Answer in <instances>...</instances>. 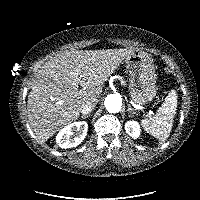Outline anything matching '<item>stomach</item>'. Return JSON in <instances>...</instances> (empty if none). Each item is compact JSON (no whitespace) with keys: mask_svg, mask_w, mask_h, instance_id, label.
I'll return each instance as SVG.
<instances>
[{"mask_svg":"<svg viewBox=\"0 0 200 200\" xmlns=\"http://www.w3.org/2000/svg\"><path fill=\"white\" fill-rule=\"evenodd\" d=\"M129 73V95L134 103L145 105L156 95L155 69L152 58L144 51H134L125 58Z\"/></svg>","mask_w":200,"mask_h":200,"instance_id":"stomach-1","label":"stomach"}]
</instances>
